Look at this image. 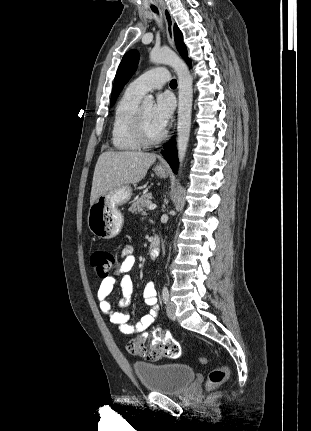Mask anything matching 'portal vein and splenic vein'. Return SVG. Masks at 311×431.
<instances>
[{"mask_svg": "<svg viewBox=\"0 0 311 431\" xmlns=\"http://www.w3.org/2000/svg\"><path fill=\"white\" fill-rule=\"evenodd\" d=\"M148 210H156L157 206L156 204H149V206H147Z\"/></svg>", "mask_w": 311, "mask_h": 431, "instance_id": "obj_1", "label": "portal vein and splenic vein"}]
</instances>
